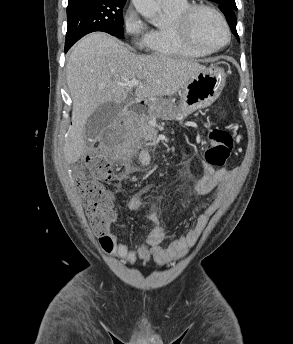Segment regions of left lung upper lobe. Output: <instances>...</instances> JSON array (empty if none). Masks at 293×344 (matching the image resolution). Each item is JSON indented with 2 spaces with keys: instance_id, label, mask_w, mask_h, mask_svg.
<instances>
[{
  "instance_id": "obj_1",
  "label": "left lung upper lobe",
  "mask_w": 293,
  "mask_h": 344,
  "mask_svg": "<svg viewBox=\"0 0 293 344\" xmlns=\"http://www.w3.org/2000/svg\"><path fill=\"white\" fill-rule=\"evenodd\" d=\"M219 5L220 10L224 13L226 16L228 23L230 25V28L233 32V34L238 37L237 31H236V17H235V11L237 10L235 0H211Z\"/></svg>"
}]
</instances>
